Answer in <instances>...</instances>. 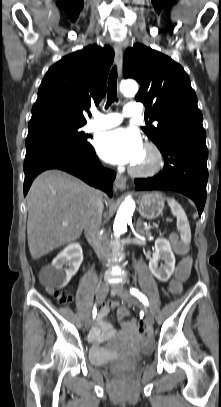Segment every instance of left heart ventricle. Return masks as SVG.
Masks as SVG:
<instances>
[{
	"label": "left heart ventricle",
	"mask_w": 221,
	"mask_h": 407,
	"mask_svg": "<svg viewBox=\"0 0 221 407\" xmlns=\"http://www.w3.org/2000/svg\"><path fill=\"white\" fill-rule=\"evenodd\" d=\"M152 163H153L152 154L144 148L140 157L133 165L136 168L144 169V168L150 167L152 165Z\"/></svg>",
	"instance_id": "b2bd125f"
}]
</instances>
